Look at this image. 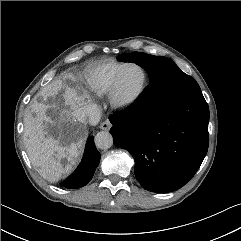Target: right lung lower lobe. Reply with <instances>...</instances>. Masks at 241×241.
I'll list each match as a JSON object with an SVG mask.
<instances>
[{
	"instance_id": "obj_1",
	"label": "right lung lower lobe",
	"mask_w": 241,
	"mask_h": 241,
	"mask_svg": "<svg viewBox=\"0 0 241 241\" xmlns=\"http://www.w3.org/2000/svg\"><path fill=\"white\" fill-rule=\"evenodd\" d=\"M100 161V153L96 149L93 136L87 139L83 159L77 169L70 175L61 186L68 189H77L85 186L92 179Z\"/></svg>"
}]
</instances>
